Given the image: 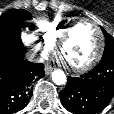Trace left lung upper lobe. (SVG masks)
Returning a JSON list of instances; mask_svg holds the SVG:
<instances>
[{
  "label": "left lung upper lobe",
  "mask_w": 114,
  "mask_h": 114,
  "mask_svg": "<svg viewBox=\"0 0 114 114\" xmlns=\"http://www.w3.org/2000/svg\"><path fill=\"white\" fill-rule=\"evenodd\" d=\"M102 31L105 36V48L101 60H114V38L108 34L103 28Z\"/></svg>",
  "instance_id": "1"
}]
</instances>
